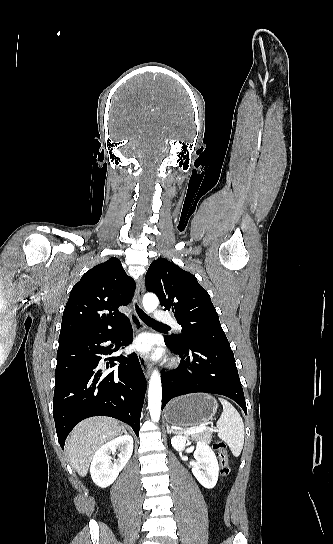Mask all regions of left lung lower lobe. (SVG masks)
<instances>
[{
  "label": "left lung lower lobe",
  "mask_w": 333,
  "mask_h": 544,
  "mask_svg": "<svg viewBox=\"0 0 333 544\" xmlns=\"http://www.w3.org/2000/svg\"><path fill=\"white\" fill-rule=\"evenodd\" d=\"M165 343L181 362L178 368L164 371L162 379V409L174 397L206 392L227 396L247 413L243 389L229 343L201 340L186 346L174 344L168 336Z\"/></svg>",
  "instance_id": "left-lung-lower-lobe-1"
}]
</instances>
